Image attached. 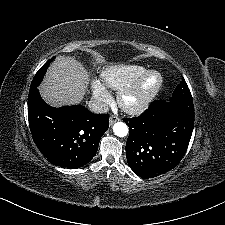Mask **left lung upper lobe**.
I'll return each mask as SVG.
<instances>
[{"instance_id":"obj_1","label":"left lung upper lobe","mask_w":225,"mask_h":225,"mask_svg":"<svg viewBox=\"0 0 225 225\" xmlns=\"http://www.w3.org/2000/svg\"><path fill=\"white\" fill-rule=\"evenodd\" d=\"M185 99L192 100L190 90L184 80L175 88L170 100Z\"/></svg>"}]
</instances>
